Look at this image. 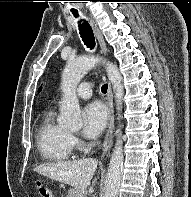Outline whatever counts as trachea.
Here are the masks:
<instances>
[{
    "instance_id": "trachea-1",
    "label": "trachea",
    "mask_w": 191,
    "mask_h": 197,
    "mask_svg": "<svg viewBox=\"0 0 191 197\" xmlns=\"http://www.w3.org/2000/svg\"><path fill=\"white\" fill-rule=\"evenodd\" d=\"M73 15L75 17H78V13H73ZM82 20L79 21V33L81 35V38L84 42V44L88 47V48H94L95 47V38H94V34L92 32V29L90 27V25L88 24L87 21H83ZM108 89V84H104L101 87V91L103 93H106Z\"/></svg>"
}]
</instances>
